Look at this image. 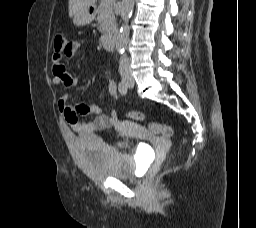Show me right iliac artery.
<instances>
[{
	"label": "right iliac artery",
	"instance_id": "right-iliac-artery-1",
	"mask_svg": "<svg viewBox=\"0 0 256 228\" xmlns=\"http://www.w3.org/2000/svg\"><path fill=\"white\" fill-rule=\"evenodd\" d=\"M118 90L122 95H125L127 93L128 85L124 79L121 80V82L119 83Z\"/></svg>",
	"mask_w": 256,
	"mask_h": 228
}]
</instances>
